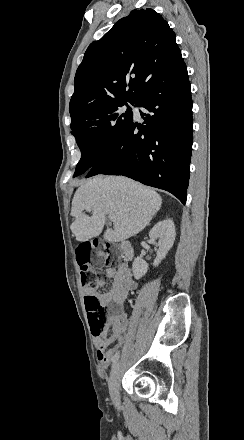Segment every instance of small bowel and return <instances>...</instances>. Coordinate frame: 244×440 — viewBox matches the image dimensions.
I'll use <instances>...</instances> for the list:
<instances>
[{"mask_svg":"<svg viewBox=\"0 0 244 440\" xmlns=\"http://www.w3.org/2000/svg\"><path fill=\"white\" fill-rule=\"evenodd\" d=\"M105 276L112 280L110 287L105 292L88 293L83 291L84 299L90 297L96 298L101 304H105L106 301L112 302L113 306L122 307L131 291L137 287V282L134 279L131 269L127 264H120L116 268H107L105 270ZM105 306V305H104ZM89 311V308H86ZM114 316H110L107 320V327L105 332L100 336H95L94 345L96 349V357L100 362L102 368H108L112 360L114 351L121 348L125 337L120 336L121 330L128 331V327H112L111 320ZM109 329L111 332L109 333Z\"/></svg>","mask_w":244,"mask_h":440,"instance_id":"obj_1","label":"small bowel"}]
</instances>
